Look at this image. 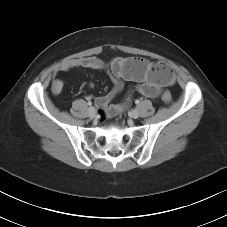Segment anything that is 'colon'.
Segmentation results:
<instances>
[{"label":"colon","instance_id":"obj_1","mask_svg":"<svg viewBox=\"0 0 227 227\" xmlns=\"http://www.w3.org/2000/svg\"><path fill=\"white\" fill-rule=\"evenodd\" d=\"M151 67L152 69L158 71L159 73H161L166 79L168 80H173V71L171 70V68L166 65L163 62H152L151 63ZM162 100L169 104L172 102V95L169 91H165L162 94ZM99 115L101 119L105 118V112L103 109L99 110Z\"/></svg>","mask_w":227,"mask_h":227}]
</instances>
